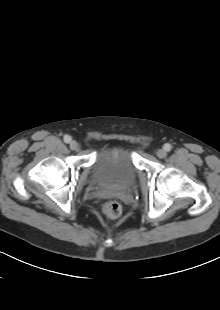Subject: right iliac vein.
I'll return each mask as SVG.
<instances>
[{
	"instance_id": "obj_1",
	"label": "right iliac vein",
	"mask_w": 220,
	"mask_h": 310,
	"mask_svg": "<svg viewBox=\"0 0 220 310\" xmlns=\"http://www.w3.org/2000/svg\"><path fill=\"white\" fill-rule=\"evenodd\" d=\"M78 147H79V145H78V143H77L76 141H71V142H70V148H71L72 150H77Z\"/></svg>"
}]
</instances>
